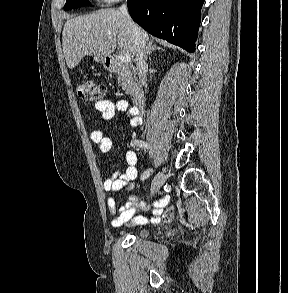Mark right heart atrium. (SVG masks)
<instances>
[{"label": "right heart atrium", "mask_w": 288, "mask_h": 293, "mask_svg": "<svg viewBox=\"0 0 288 293\" xmlns=\"http://www.w3.org/2000/svg\"><path fill=\"white\" fill-rule=\"evenodd\" d=\"M101 1H103V2H105V3H112V2H116V1H118V0H101Z\"/></svg>", "instance_id": "right-heart-atrium-1"}]
</instances>
